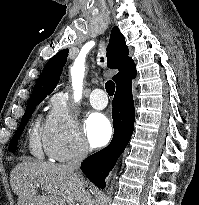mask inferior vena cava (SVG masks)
Returning <instances> with one entry per match:
<instances>
[{"mask_svg":"<svg viewBox=\"0 0 199 205\" xmlns=\"http://www.w3.org/2000/svg\"><path fill=\"white\" fill-rule=\"evenodd\" d=\"M89 152V147L88 144L82 140L78 147L76 148L71 160L67 163L66 167L74 171L76 170V176L78 177V181L81 185H83V176L81 173L78 171L80 169V164L81 162L87 157ZM81 205H93V200L91 198L90 193L83 188V197H82V202Z\"/></svg>","mask_w":199,"mask_h":205,"instance_id":"obj_1","label":"inferior vena cava"}]
</instances>
